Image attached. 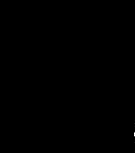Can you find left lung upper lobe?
<instances>
[{
	"label": "left lung upper lobe",
	"instance_id": "obj_1",
	"mask_svg": "<svg viewBox=\"0 0 135 153\" xmlns=\"http://www.w3.org/2000/svg\"><path fill=\"white\" fill-rule=\"evenodd\" d=\"M87 104L99 121L114 118L124 107V91L105 76H96L87 93Z\"/></svg>",
	"mask_w": 135,
	"mask_h": 153
}]
</instances>
